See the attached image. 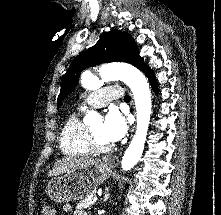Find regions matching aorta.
<instances>
[{"instance_id":"obj_1","label":"aorta","mask_w":221,"mask_h":215,"mask_svg":"<svg viewBox=\"0 0 221 215\" xmlns=\"http://www.w3.org/2000/svg\"><path fill=\"white\" fill-rule=\"evenodd\" d=\"M102 81H123L132 91L137 117L135 135L122 158L121 167L124 171L133 168L140 160L150 123L152 101L149 83L144 74L136 67L125 63H112L102 65L99 69ZM82 84L86 88H94L92 79H83ZM98 114L87 111L84 122L91 123Z\"/></svg>"}]
</instances>
